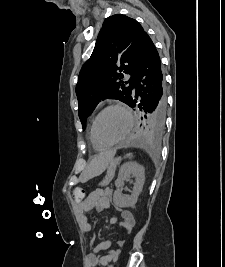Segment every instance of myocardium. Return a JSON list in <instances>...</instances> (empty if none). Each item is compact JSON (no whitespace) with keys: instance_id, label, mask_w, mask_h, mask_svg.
Segmentation results:
<instances>
[{"instance_id":"myocardium-1","label":"myocardium","mask_w":225,"mask_h":267,"mask_svg":"<svg viewBox=\"0 0 225 267\" xmlns=\"http://www.w3.org/2000/svg\"><path fill=\"white\" fill-rule=\"evenodd\" d=\"M112 109H119L121 111H123L126 116H127V119H128V127L125 131V133L123 134V136L121 138H119L118 140H115V141H112V142H103L99 139L98 137V133H97V126H98V122L100 120V118L109 110H112ZM133 125H134V119H133V115L131 113V111L129 110V108H127L126 106L122 105V104H119V103H114V104H110V105H107L106 107H104L94 118L93 120V125H92V134H93V138L94 140L105 146V147H111V146H115V145H118L122 142H124L129 134L131 133L132 129H133Z\"/></svg>"}]
</instances>
